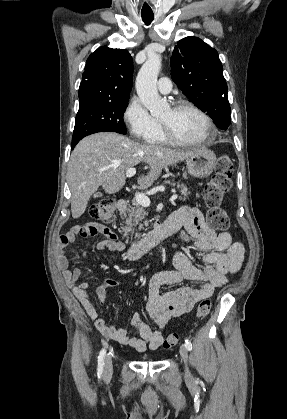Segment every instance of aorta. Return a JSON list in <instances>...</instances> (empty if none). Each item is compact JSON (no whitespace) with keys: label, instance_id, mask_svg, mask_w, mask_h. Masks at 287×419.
I'll list each match as a JSON object with an SVG mask.
<instances>
[{"label":"aorta","instance_id":"1","mask_svg":"<svg viewBox=\"0 0 287 419\" xmlns=\"http://www.w3.org/2000/svg\"><path fill=\"white\" fill-rule=\"evenodd\" d=\"M161 62V55H150L136 77L137 94L153 116L160 115L165 106L157 90V77L161 69Z\"/></svg>","mask_w":287,"mask_h":419}]
</instances>
